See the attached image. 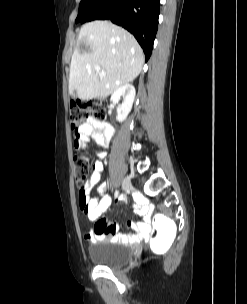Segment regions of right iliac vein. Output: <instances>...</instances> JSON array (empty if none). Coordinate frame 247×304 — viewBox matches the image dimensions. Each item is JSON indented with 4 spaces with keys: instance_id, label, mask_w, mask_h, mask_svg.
Here are the masks:
<instances>
[{
    "instance_id": "right-iliac-vein-1",
    "label": "right iliac vein",
    "mask_w": 247,
    "mask_h": 304,
    "mask_svg": "<svg viewBox=\"0 0 247 304\" xmlns=\"http://www.w3.org/2000/svg\"><path fill=\"white\" fill-rule=\"evenodd\" d=\"M123 190L126 192V193H129L131 190H132V185H131V182L129 179L125 178L123 180Z\"/></svg>"
}]
</instances>
